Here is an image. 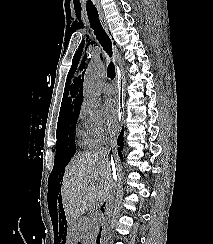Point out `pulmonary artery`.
I'll return each instance as SVG.
<instances>
[{
  "mask_svg": "<svg viewBox=\"0 0 213 244\" xmlns=\"http://www.w3.org/2000/svg\"><path fill=\"white\" fill-rule=\"evenodd\" d=\"M102 91L105 95H111L114 93L113 85L110 83H105L102 86Z\"/></svg>",
  "mask_w": 213,
  "mask_h": 244,
  "instance_id": "1",
  "label": "pulmonary artery"
}]
</instances>
